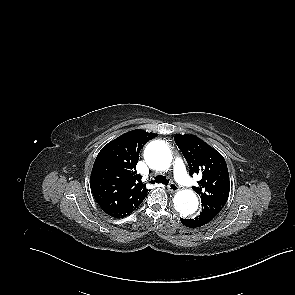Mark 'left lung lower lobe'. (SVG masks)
Here are the masks:
<instances>
[{
  "label": "left lung lower lobe",
  "instance_id": "0a47b994",
  "mask_svg": "<svg viewBox=\"0 0 295 295\" xmlns=\"http://www.w3.org/2000/svg\"><path fill=\"white\" fill-rule=\"evenodd\" d=\"M217 215V212L212 211H202L199 216L194 219H183L180 218L182 224L187 227L195 228L200 227L207 224L210 220H212Z\"/></svg>",
  "mask_w": 295,
  "mask_h": 295
}]
</instances>
